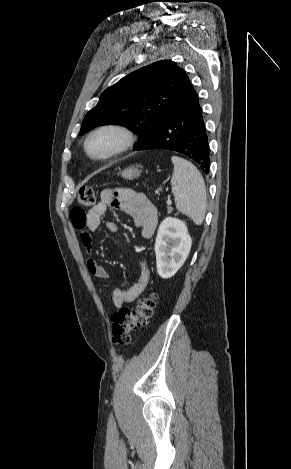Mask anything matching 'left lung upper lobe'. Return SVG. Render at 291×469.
I'll use <instances>...</instances> for the list:
<instances>
[{
    "mask_svg": "<svg viewBox=\"0 0 291 469\" xmlns=\"http://www.w3.org/2000/svg\"><path fill=\"white\" fill-rule=\"evenodd\" d=\"M189 85L187 74L173 61L145 66L101 94L98 104L85 116L79 135L100 125L119 124L134 130L140 145Z\"/></svg>",
    "mask_w": 291,
    "mask_h": 469,
    "instance_id": "obj_1",
    "label": "left lung upper lobe"
}]
</instances>
